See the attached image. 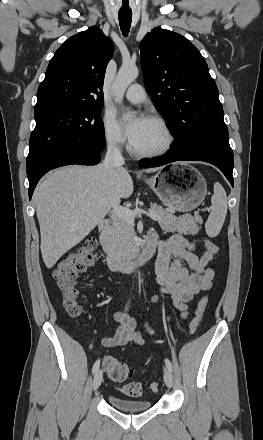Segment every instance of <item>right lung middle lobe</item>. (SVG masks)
I'll list each match as a JSON object with an SVG mask.
<instances>
[{
	"mask_svg": "<svg viewBox=\"0 0 263 440\" xmlns=\"http://www.w3.org/2000/svg\"><path fill=\"white\" fill-rule=\"evenodd\" d=\"M101 106L58 105L34 109L36 127L30 136L26 165L41 159L49 151L79 141L104 139Z\"/></svg>",
	"mask_w": 263,
	"mask_h": 440,
	"instance_id": "obj_1",
	"label": "right lung middle lobe"
}]
</instances>
